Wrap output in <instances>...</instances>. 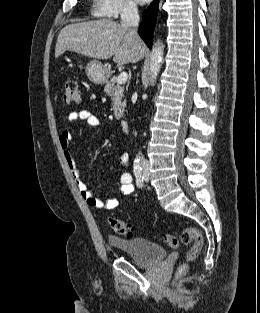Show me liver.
<instances>
[{
    "label": "liver",
    "mask_w": 260,
    "mask_h": 313,
    "mask_svg": "<svg viewBox=\"0 0 260 313\" xmlns=\"http://www.w3.org/2000/svg\"><path fill=\"white\" fill-rule=\"evenodd\" d=\"M73 51L95 59H109L123 65L144 57L145 45L130 27L100 19L65 26L59 33L55 57Z\"/></svg>",
    "instance_id": "obj_1"
}]
</instances>
